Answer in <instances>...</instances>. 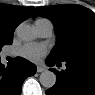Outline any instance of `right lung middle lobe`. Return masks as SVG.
Wrapping results in <instances>:
<instances>
[{"label": "right lung middle lobe", "instance_id": "dd1d6c3e", "mask_svg": "<svg viewBox=\"0 0 95 95\" xmlns=\"http://www.w3.org/2000/svg\"><path fill=\"white\" fill-rule=\"evenodd\" d=\"M4 44H12V40H10V41H0V48H2V46Z\"/></svg>", "mask_w": 95, "mask_h": 95}]
</instances>
